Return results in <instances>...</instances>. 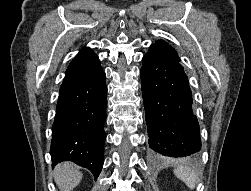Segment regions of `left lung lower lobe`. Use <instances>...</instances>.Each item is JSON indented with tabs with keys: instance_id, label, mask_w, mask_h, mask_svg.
Returning <instances> with one entry per match:
<instances>
[{
	"instance_id": "left-lung-lower-lobe-1",
	"label": "left lung lower lobe",
	"mask_w": 251,
	"mask_h": 191,
	"mask_svg": "<svg viewBox=\"0 0 251 191\" xmlns=\"http://www.w3.org/2000/svg\"><path fill=\"white\" fill-rule=\"evenodd\" d=\"M140 76L152 154L176 158L197 154L201 149L199 123L180 62L149 49Z\"/></svg>"
}]
</instances>
